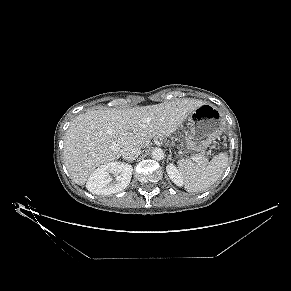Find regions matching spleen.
<instances>
[{
  "instance_id": "3e777b00",
  "label": "spleen",
  "mask_w": 291,
  "mask_h": 291,
  "mask_svg": "<svg viewBox=\"0 0 291 291\" xmlns=\"http://www.w3.org/2000/svg\"><path fill=\"white\" fill-rule=\"evenodd\" d=\"M228 165L227 153H219L208 165L194 164L181 159L178 167L187 192L198 193L212 186L223 174Z\"/></svg>"
}]
</instances>
